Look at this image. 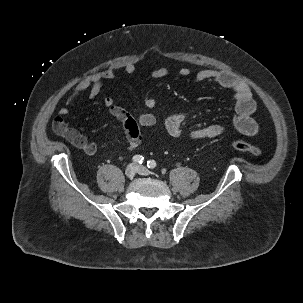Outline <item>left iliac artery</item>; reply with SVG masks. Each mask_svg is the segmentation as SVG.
<instances>
[{
  "mask_svg": "<svg viewBox=\"0 0 303 303\" xmlns=\"http://www.w3.org/2000/svg\"><path fill=\"white\" fill-rule=\"evenodd\" d=\"M147 166H148V168H150V169H154V168L157 166V164H156V162H155L154 160H149V161L147 162Z\"/></svg>",
  "mask_w": 303,
  "mask_h": 303,
  "instance_id": "44dca946",
  "label": "left iliac artery"
}]
</instances>
